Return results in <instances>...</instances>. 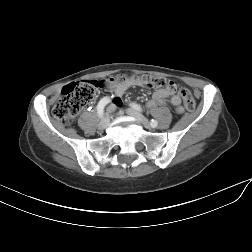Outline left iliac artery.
<instances>
[{
	"label": "left iliac artery",
	"instance_id": "left-iliac-artery-1",
	"mask_svg": "<svg viewBox=\"0 0 252 252\" xmlns=\"http://www.w3.org/2000/svg\"><path fill=\"white\" fill-rule=\"evenodd\" d=\"M130 105H131V107L134 108L135 110L141 111V107H140L139 105H137V104H135V103H131ZM150 125H151V127L154 128V127H156V126L158 125V123H157L156 120L152 119L151 122H150Z\"/></svg>",
	"mask_w": 252,
	"mask_h": 252
}]
</instances>
